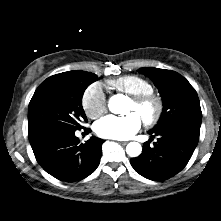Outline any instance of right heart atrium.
<instances>
[{
    "label": "right heart atrium",
    "instance_id": "obj_1",
    "mask_svg": "<svg viewBox=\"0 0 221 221\" xmlns=\"http://www.w3.org/2000/svg\"><path fill=\"white\" fill-rule=\"evenodd\" d=\"M85 114L96 119L106 111V96L99 83L90 84L83 92L81 99Z\"/></svg>",
    "mask_w": 221,
    "mask_h": 221
}]
</instances>
